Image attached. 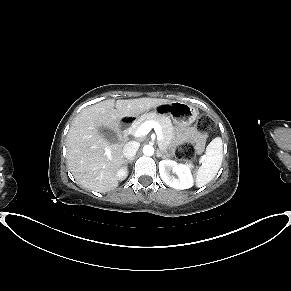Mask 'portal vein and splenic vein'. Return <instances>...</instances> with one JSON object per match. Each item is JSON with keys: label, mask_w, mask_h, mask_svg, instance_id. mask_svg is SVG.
<instances>
[{"label": "portal vein and splenic vein", "mask_w": 291, "mask_h": 291, "mask_svg": "<svg viewBox=\"0 0 291 291\" xmlns=\"http://www.w3.org/2000/svg\"><path fill=\"white\" fill-rule=\"evenodd\" d=\"M151 129L155 130V133L157 135V140L160 141L162 138V129L159 123L156 121H146L144 122L134 133V136L136 138L146 136Z\"/></svg>", "instance_id": "obj_1"}]
</instances>
